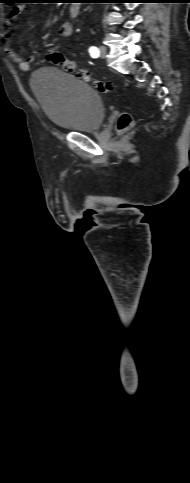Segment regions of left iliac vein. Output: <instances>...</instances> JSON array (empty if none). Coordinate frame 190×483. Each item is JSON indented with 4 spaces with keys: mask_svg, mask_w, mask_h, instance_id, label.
<instances>
[{
    "mask_svg": "<svg viewBox=\"0 0 190 483\" xmlns=\"http://www.w3.org/2000/svg\"><path fill=\"white\" fill-rule=\"evenodd\" d=\"M99 50H100V57L101 58H105L106 55H107V49H106V47L100 46Z\"/></svg>",
    "mask_w": 190,
    "mask_h": 483,
    "instance_id": "left-iliac-vein-1",
    "label": "left iliac vein"
}]
</instances>
